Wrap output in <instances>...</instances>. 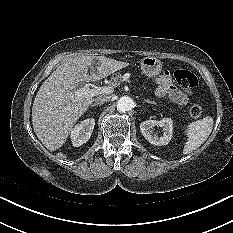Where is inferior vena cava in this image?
Here are the masks:
<instances>
[{
    "label": "inferior vena cava",
    "instance_id": "1",
    "mask_svg": "<svg viewBox=\"0 0 233 233\" xmlns=\"http://www.w3.org/2000/svg\"><path fill=\"white\" fill-rule=\"evenodd\" d=\"M109 100H110V96L102 95V96H99L95 99V104L102 105L103 103H105Z\"/></svg>",
    "mask_w": 233,
    "mask_h": 233
}]
</instances>
